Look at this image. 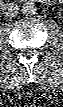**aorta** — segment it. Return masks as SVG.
Wrapping results in <instances>:
<instances>
[{"mask_svg": "<svg viewBox=\"0 0 63 107\" xmlns=\"http://www.w3.org/2000/svg\"><path fill=\"white\" fill-rule=\"evenodd\" d=\"M36 5L33 2L27 1L22 4L21 11L25 16H33L36 14Z\"/></svg>", "mask_w": 63, "mask_h": 107, "instance_id": "762f6f07", "label": "aorta"}]
</instances>
